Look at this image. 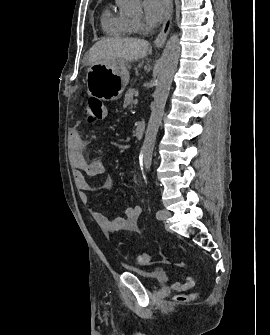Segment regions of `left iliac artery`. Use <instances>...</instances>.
<instances>
[{
    "instance_id": "1",
    "label": "left iliac artery",
    "mask_w": 270,
    "mask_h": 335,
    "mask_svg": "<svg viewBox=\"0 0 270 335\" xmlns=\"http://www.w3.org/2000/svg\"><path fill=\"white\" fill-rule=\"evenodd\" d=\"M161 214H162V211H161V210L157 211V213H156V217L159 218V217L161 216Z\"/></svg>"
}]
</instances>
